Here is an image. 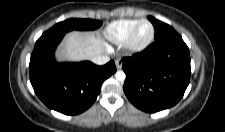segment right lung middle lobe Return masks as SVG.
Returning a JSON list of instances; mask_svg holds the SVG:
<instances>
[{
	"mask_svg": "<svg viewBox=\"0 0 225 132\" xmlns=\"http://www.w3.org/2000/svg\"><path fill=\"white\" fill-rule=\"evenodd\" d=\"M101 24L102 22L98 20L71 18L56 24L46 32L66 33L71 30H95L100 27Z\"/></svg>",
	"mask_w": 225,
	"mask_h": 132,
	"instance_id": "right-lung-middle-lobe-1",
	"label": "right lung middle lobe"
}]
</instances>
